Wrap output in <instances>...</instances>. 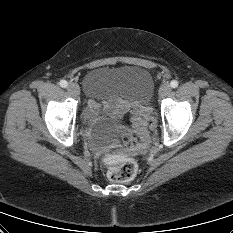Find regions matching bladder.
Segmentation results:
<instances>
[{
    "label": "bladder",
    "instance_id": "31cf9c89",
    "mask_svg": "<svg viewBox=\"0 0 233 233\" xmlns=\"http://www.w3.org/2000/svg\"><path fill=\"white\" fill-rule=\"evenodd\" d=\"M83 88L87 98L98 103L140 107L148 105L155 83L151 73L143 67H99L87 72Z\"/></svg>",
    "mask_w": 233,
    "mask_h": 233
}]
</instances>
